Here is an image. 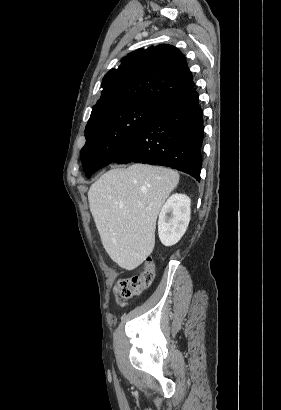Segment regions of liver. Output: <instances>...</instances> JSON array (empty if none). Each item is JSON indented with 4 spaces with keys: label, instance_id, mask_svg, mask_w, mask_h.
<instances>
[{
    "label": "liver",
    "instance_id": "6515ba94",
    "mask_svg": "<svg viewBox=\"0 0 281 410\" xmlns=\"http://www.w3.org/2000/svg\"><path fill=\"white\" fill-rule=\"evenodd\" d=\"M179 182L178 172L133 164L103 174L88 191L90 211L110 258L133 270L155 246L159 211Z\"/></svg>",
    "mask_w": 281,
    "mask_h": 410
}]
</instances>
